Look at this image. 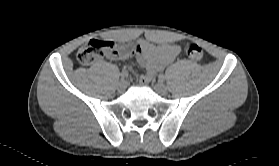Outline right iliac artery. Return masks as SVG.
Returning <instances> with one entry per match:
<instances>
[{"label":"right iliac artery","instance_id":"obj_1","mask_svg":"<svg viewBox=\"0 0 279 166\" xmlns=\"http://www.w3.org/2000/svg\"><path fill=\"white\" fill-rule=\"evenodd\" d=\"M120 76H121V80H124L125 78L128 77V72L127 71H122Z\"/></svg>","mask_w":279,"mask_h":166}]
</instances>
